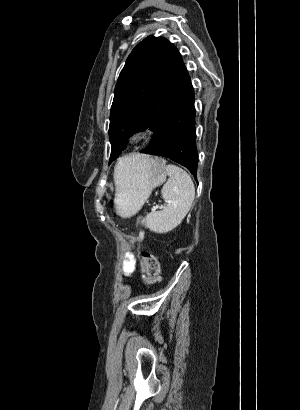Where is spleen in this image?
<instances>
[{
  "instance_id": "obj_1",
  "label": "spleen",
  "mask_w": 300,
  "mask_h": 410,
  "mask_svg": "<svg viewBox=\"0 0 300 410\" xmlns=\"http://www.w3.org/2000/svg\"><path fill=\"white\" fill-rule=\"evenodd\" d=\"M131 167L128 158H122L114 171L115 184H119L120 173ZM168 181L162 188L166 206L161 211H152L141 224L155 233H167L176 228L189 212L195 198V188L190 175L182 168L169 164L166 166Z\"/></svg>"
}]
</instances>
